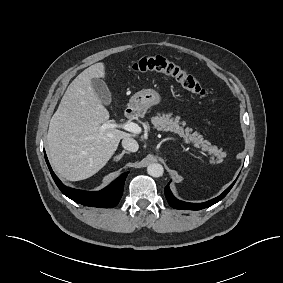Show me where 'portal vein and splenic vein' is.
<instances>
[{"mask_svg":"<svg viewBox=\"0 0 283 283\" xmlns=\"http://www.w3.org/2000/svg\"><path fill=\"white\" fill-rule=\"evenodd\" d=\"M104 128H122L134 134L141 133V127H139L138 124L133 122H126L124 124L108 123L104 125Z\"/></svg>","mask_w":283,"mask_h":283,"instance_id":"obj_1","label":"portal vein and splenic vein"}]
</instances>
